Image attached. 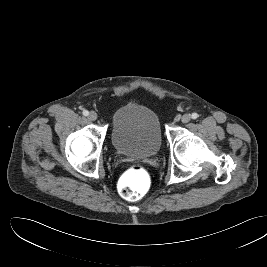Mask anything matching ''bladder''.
Segmentation results:
<instances>
[{
    "instance_id": "obj_1",
    "label": "bladder",
    "mask_w": 267,
    "mask_h": 267,
    "mask_svg": "<svg viewBox=\"0 0 267 267\" xmlns=\"http://www.w3.org/2000/svg\"><path fill=\"white\" fill-rule=\"evenodd\" d=\"M111 143L114 150L132 158H149L162 145L159 117L148 106L129 103L118 108L111 118Z\"/></svg>"
}]
</instances>
